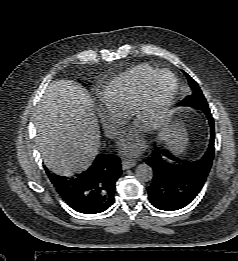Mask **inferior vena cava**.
<instances>
[{
  "instance_id": "602c4592",
  "label": "inferior vena cava",
  "mask_w": 238,
  "mask_h": 261,
  "mask_svg": "<svg viewBox=\"0 0 238 261\" xmlns=\"http://www.w3.org/2000/svg\"><path fill=\"white\" fill-rule=\"evenodd\" d=\"M107 136H112V132H108V133H107Z\"/></svg>"
}]
</instances>
